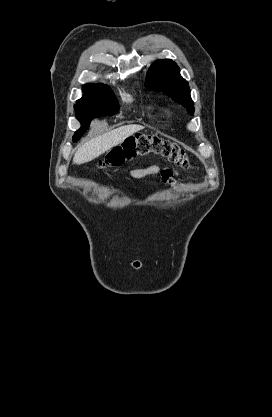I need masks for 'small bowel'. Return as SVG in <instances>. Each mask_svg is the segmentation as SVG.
Segmentation results:
<instances>
[{
	"label": "small bowel",
	"instance_id": "1",
	"mask_svg": "<svg viewBox=\"0 0 272 417\" xmlns=\"http://www.w3.org/2000/svg\"><path fill=\"white\" fill-rule=\"evenodd\" d=\"M153 175H160L164 182L171 183L176 189L180 186V183L174 179L179 173L170 168H161L159 165H151L145 168H134L130 170V176L133 179H143Z\"/></svg>",
	"mask_w": 272,
	"mask_h": 417
}]
</instances>
